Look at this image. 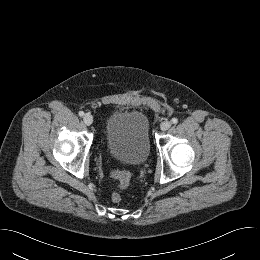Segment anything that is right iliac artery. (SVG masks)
<instances>
[{"instance_id":"obj_1","label":"right iliac artery","mask_w":260,"mask_h":260,"mask_svg":"<svg viewBox=\"0 0 260 260\" xmlns=\"http://www.w3.org/2000/svg\"><path fill=\"white\" fill-rule=\"evenodd\" d=\"M79 116L83 117V116H84V112H83V111H80V112H79Z\"/></svg>"}]
</instances>
